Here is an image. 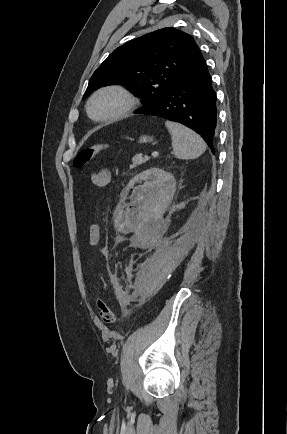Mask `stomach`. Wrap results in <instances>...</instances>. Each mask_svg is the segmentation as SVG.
I'll use <instances>...</instances> for the list:
<instances>
[{
  "label": "stomach",
  "instance_id": "stomach-1",
  "mask_svg": "<svg viewBox=\"0 0 287 434\" xmlns=\"http://www.w3.org/2000/svg\"><path fill=\"white\" fill-rule=\"evenodd\" d=\"M153 138L149 137V136H141L139 142L140 143H148V142H152Z\"/></svg>",
  "mask_w": 287,
  "mask_h": 434
}]
</instances>
